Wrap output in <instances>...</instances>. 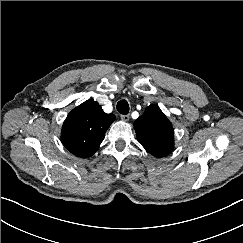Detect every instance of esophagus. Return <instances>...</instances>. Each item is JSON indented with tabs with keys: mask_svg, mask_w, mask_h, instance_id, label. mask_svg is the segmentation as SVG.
<instances>
[{
	"mask_svg": "<svg viewBox=\"0 0 243 243\" xmlns=\"http://www.w3.org/2000/svg\"><path fill=\"white\" fill-rule=\"evenodd\" d=\"M121 119L123 120V121H125V122H127V121H129V119H130V117H129V115H121Z\"/></svg>",
	"mask_w": 243,
	"mask_h": 243,
	"instance_id": "obj_1",
	"label": "esophagus"
}]
</instances>
